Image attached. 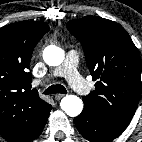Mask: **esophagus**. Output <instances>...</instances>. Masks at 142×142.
<instances>
[{"mask_svg": "<svg viewBox=\"0 0 142 142\" xmlns=\"http://www.w3.org/2000/svg\"><path fill=\"white\" fill-rule=\"evenodd\" d=\"M65 96V94H56L55 95V99L56 100H60L61 98H63Z\"/></svg>", "mask_w": 142, "mask_h": 142, "instance_id": "34e87169", "label": "esophagus"}]
</instances>
